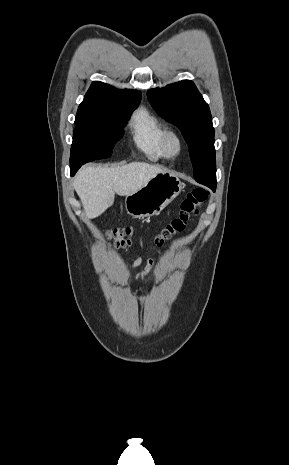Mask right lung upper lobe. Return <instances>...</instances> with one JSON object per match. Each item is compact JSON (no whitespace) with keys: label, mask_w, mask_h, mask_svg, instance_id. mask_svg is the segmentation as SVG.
<instances>
[{"label":"right lung upper lobe","mask_w":289,"mask_h":465,"mask_svg":"<svg viewBox=\"0 0 289 465\" xmlns=\"http://www.w3.org/2000/svg\"><path fill=\"white\" fill-rule=\"evenodd\" d=\"M140 99L141 94L138 91L128 89L118 91L108 84L94 81L79 105L75 122H101L111 105L140 101Z\"/></svg>","instance_id":"cb5924a9"}]
</instances>
